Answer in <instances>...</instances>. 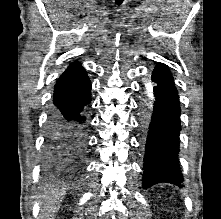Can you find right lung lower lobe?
Here are the masks:
<instances>
[{"label": "right lung lower lobe", "mask_w": 221, "mask_h": 219, "mask_svg": "<svg viewBox=\"0 0 221 219\" xmlns=\"http://www.w3.org/2000/svg\"><path fill=\"white\" fill-rule=\"evenodd\" d=\"M90 92L85 69L78 62L71 63L55 85L54 106L46 129L45 168H66L83 155Z\"/></svg>", "instance_id": "98d812e1"}]
</instances>
